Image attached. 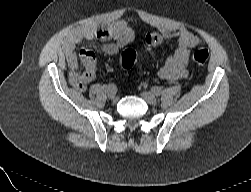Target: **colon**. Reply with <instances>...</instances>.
I'll use <instances>...</instances> for the list:
<instances>
[{
  "instance_id": "obj_1",
  "label": "colon",
  "mask_w": 251,
  "mask_h": 192,
  "mask_svg": "<svg viewBox=\"0 0 251 192\" xmlns=\"http://www.w3.org/2000/svg\"><path fill=\"white\" fill-rule=\"evenodd\" d=\"M164 42V38L159 33H151L146 36V43L150 47L161 46ZM209 58V51L205 48H198L192 54V60L197 65H203ZM136 62V54L131 49H126L122 52L120 57V63L122 68L130 69Z\"/></svg>"
}]
</instances>
